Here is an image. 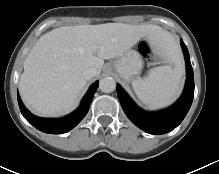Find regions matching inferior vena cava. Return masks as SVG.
I'll return each instance as SVG.
<instances>
[{"instance_id": "obj_1", "label": "inferior vena cava", "mask_w": 219, "mask_h": 174, "mask_svg": "<svg viewBox=\"0 0 219 174\" xmlns=\"http://www.w3.org/2000/svg\"><path fill=\"white\" fill-rule=\"evenodd\" d=\"M96 75V69L94 67H89L86 68L83 71V76L86 80H90L91 78H93Z\"/></svg>"}]
</instances>
